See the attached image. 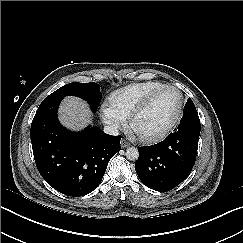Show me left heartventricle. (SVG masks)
I'll use <instances>...</instances> for the list:
<instances>
[{"mask_svg": "<svg viewBox=\"0 0 243 243\" xmlns=\"http://www.w3.org/2000/svg\"><path fill=\"white\" fill-rule=\"evenodd\" d=\"M179 99V93L175 90H168L158 95L137 117L136 129L145 135L161 133L174 119Z\"/></svg>", "mask_w": 243, "mask_h": 243, "instance_id": "left-heart-ventricle-1", "label": "left heart ventricle"}]
</instances>
